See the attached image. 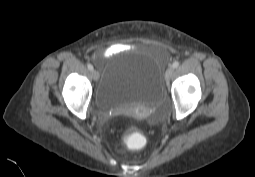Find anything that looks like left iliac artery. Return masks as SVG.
Masks as SVG:
<instances>
[{"label": "left iliac artery", "instance_id": "44dca946", "mask_svg": "<svg viewBox=\"0 0 255 177\" xmlns=\"http://www.w3.org/2000/svg\"><path fill=\"white\" fill-rule=\"evenodd\" d=\"M179 66V62L178 61H175L173 64H172V67L173 68H177Z\"/></svg>", "mask_w": 255, "mask_h": 177}]
</instances>
